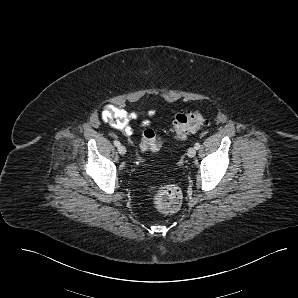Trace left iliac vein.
Here are the masks:
<instances>
[{
  "instance_id": "left-iliac-vein-1",
  "label": "left iliac vein",
  "mask_w": 298,
  "mask_h": 298,
  "mask_svg": "<svg viewBox=\"0 0 298 298\" xmlns=\"http://www.w3.org/2000/svg\"><path fill=\"white\" fill-rule=\"evenodd\" d=\"M188 157L193 158L196 155L195 147H190L187 152Z\"/></svg>"
}]
</instances>
